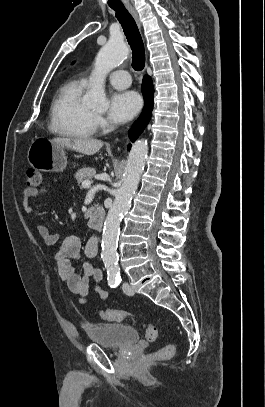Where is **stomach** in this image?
Segmentation results:
<instances>
[{
	"instance_id": "1",
	"label": "stomach",
	"mask_w": 265,
	"mask_h": 407,
	"mask_svg": "<svg viewBox=\"0 0 265 407\" xmlns=\"http://www.w3.org/2000/svg\"><path fill=\"white\" fill-rule=\"evenodd\" d=\"M27 159L42 172H62L67 166L65 148L46 139H37L30 145Z\"/></svg>"
}]
</instances>
